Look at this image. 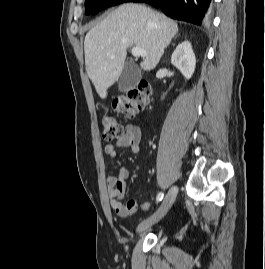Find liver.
<instances>
[{
	"instance_id": "liver-1",
	"label": "liver",
	"mask_w": 265,
	"mask_h": 269,
	"mask_svg": "<svg viewBox=\"0 0 265 269\" xmlns=\"http://www.w3.org/2000/svg\"><path fill=\"white\" fill-rule=\"evenodd\" d=\"M178 25L165 15L144 5L119 6L86 34V72L102 99L121 76L127 49L140 47L147 57L140 63L150 71L159 63L164 49L177 34Z\"/></svg>"
}]
</instances>
